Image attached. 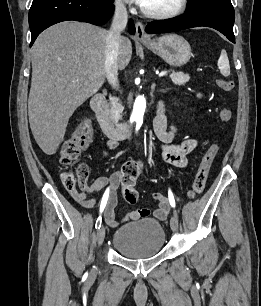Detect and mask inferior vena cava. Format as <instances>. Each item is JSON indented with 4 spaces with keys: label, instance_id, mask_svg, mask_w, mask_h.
<instances>
[{
    "label": "inferior vena cava",
    "instance_id": "inferior-vena-cava-1",
    "mask_svg": "<svg viewBox=\"0 0 261 306\" xmlns=\"http://www.w3.org/2000/svg\"><path fill=\"white\" fill-rule=\"evenodd\" d=\"M128 21L125 5L120 1L115 2L113 21L107 31L105 49V72L109 84L116 90L119 89L118 64L119 42L121 33L124 31Z\"/></svg>",
    "mask_w": 261,
    "mask_h": 306
}]
</instances>
